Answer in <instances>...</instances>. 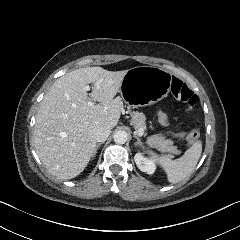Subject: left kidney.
Wrapping results in <instances>:
<instances>
[{"mask_svg":"<svg viewBox=\"0 0 240 240\" xmlns=\"http://www.w3.org/2000/svg\"><path fill=\"white\" fill-rule=\"evenodd\" d=\"M134 161L137 167L148 175H154L157 171L158 164L157 160L148 158L141 151H137L134 155Z\"/></svg>","mask_w":240,"mask_h":240,"instance_id":"1","label":"left kidney"}]
</instances>
